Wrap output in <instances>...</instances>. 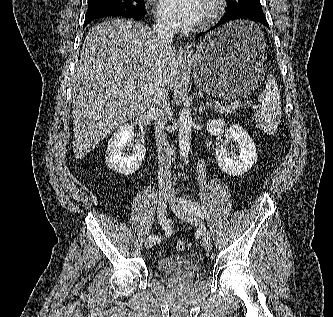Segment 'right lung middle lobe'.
<instances>
[{
  "label": "right lung middle lobe",
  "instance_id": "right-lung-middle-lobe-1",
  "mask_svg": "<svg viewBox=\"0 0 333 317\" xmlns=\"http://www.w3.org/2000/svg\"><path fill=\"white\" fill-rule=\"evenodd\" d=\"M107 13L144 15V0H88L86 16Z\"/></svg>",
  "mask_w": 333,
  "mask_h": 317
}]
</instances>
